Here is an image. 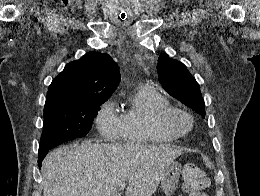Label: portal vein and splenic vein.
I'll list each match as a JSON object with an SVG mask.
<instances>
[{"label":"portal vein and splenic vein","mask_w":260,"mask_h":196,"mask_svg":"<svg viewBox=\"0 0 260 196\" xmlns=\"http://www.w3.org/2000/svg\"><path fill=\"white\" fill-rule=\"evenodd\" d=\"M116 188H118V190H124V188H126L125 182H123V184H119V186H116Z\"/></svg>","instance_id":"1"}]
</instances>
